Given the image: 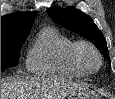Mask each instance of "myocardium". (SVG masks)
<instances>
[{
  "mask_svg": "<svg viewBox=\"0 0 115 99\" xmlns=\"http://www.w3.org/2000/svg\"><path fill=\"white\" fill-rule=\"evenodd\" d=\"M83 50H90L92 51L97 59H98V66L95 69H90L84 62L82 58V51ZM70 56L73 61V63L85 74H94L98 72L102 66L103 59L102 55L99 52V50L93 45L92 43L88 41H75L71 47L70 50Z\"/></svg>",
  "mask_w": 115,
  "mask_h": 99,
  "instance_id": "obj_1",
  "label": "myocardium"
}]
</instances>
